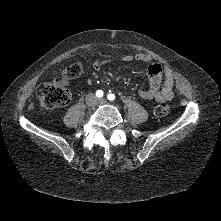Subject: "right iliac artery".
I'll use <instances>...</instances> for the list:
<instances>
[{
  "mask_svg": "<svg viewBox=\"0 0 221 221\" xmlns=\"http://www.w3.org/2000/svg\"><path fill=\"white\" fill-rule=\"evenodd\" d=\"M103 95H104V93H103L102 90H98V91L96 92V96H97L98 98L103 97Z\"/></svg>",
  "mask_w": 221,
  "mask_h": 221,
  "instance_id": "1",
  "label": "right iliac artery"
}]
</instances>
